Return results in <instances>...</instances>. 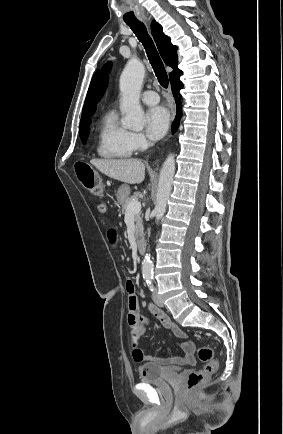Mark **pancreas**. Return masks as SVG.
<instances>
[{"label":"pancreas","mask_w":283,"mask_h":434,"mask_svg":"<svg viewBox=\"0 0 283 434\" xmlns=\"http://www.w3.org/2000/svg\"><path fill=\"white\" fill-rule=\"evenodd\" d=\"M133 201H138L137 194H134L133 196H131L130 198H128L125 203L122 204V212L123 213H126L127 207L129 205V203L133 202ZM134 220H135V223H136V225H135V235H136V237H138V236L142 235L143 229H144L143 228L142 219H141V214L140 213L135 214L134 215Z\"/></svg>","instance_id":"obj_1"}]
</instances>
